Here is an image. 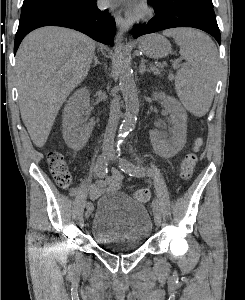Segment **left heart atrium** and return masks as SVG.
<instances>
[{
  "label": "left heart atrium",
  "mask_w": 245,
  "mask_h": 300,
  "mask_svg": "<svg viewBox=\"0 0 245 300\" xmlns=\"http://www.w3.org/2000/svg\"><path fill=\"white\" fill-rule=\"evenodd\" d=\"M106 6L124 4L131 11H136L138 9L137 0H103Z\"/></svg>",
  "instance_id": "obj_1"
}]
</instances>
